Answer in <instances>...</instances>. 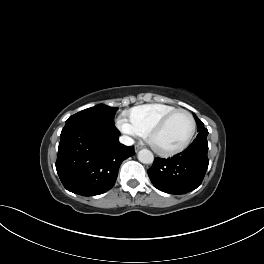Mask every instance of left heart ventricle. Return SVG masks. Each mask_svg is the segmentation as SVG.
Instances as JSON below:
<instances>
[{"mask_svg": "<svg viewBox=\"0 0 264 264\" xmlns=\"http://www.w3.org/2000/svg\"><path fill=\"white\" fill-rule=\"evenodd\" d=\"M191 126V120L187 115L178 114L154 136V144L161 149L177 147L186 141L191 132Z\"/></svg>", "mask_w": 264, "mask_h": 264, "instance_id": "left-heart-ventricle-1", "label": "left heart ventricle"}]
</instances>
